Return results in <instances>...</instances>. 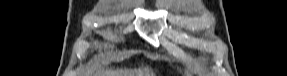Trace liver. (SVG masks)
I'll return each mask as SVG.
<instances>
[{
  "instance_id": "6515ba94",
  "label": "liver",
  "mask_w": 287,
  "mask_h": 76,
  "mask_svg": "<svg viewBox=\"0 0 287 76\" xmlns=\"http://www.w3.org/2000/svg\"><path fill=\"white\" fill-rule=\"evenodd\" d=\"M103 58V54H99L94 56L87 64V68L90 69L91 76H137L134 74H139V71L136 70H123V69H113V68H102L96 73H94V70L98 66V61ZM147 76V75H146Z\"/></svg>"
}]
</instances>
